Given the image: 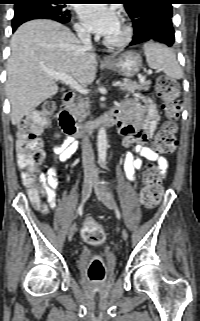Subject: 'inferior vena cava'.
I'll return each mask as SVG.
<instances>
[{
	"label": "inferior vena cava",
	"instance_id": "inferior-vena-cava-1",
	"mask_svg": "<svg viewBox=\"0 0 200 321\" xmlns=\"http://www.w3.org/2000/svg\"><path fill=\"white\" fill-rule=\"evenodd\" d=\"M78 37L86 50H92L90 33L85 29L78 30ZM82 162L85 176H97V170L94 164V155L89 137L86 133L82 134Z\"/></svg>",
	"mask_w": 200,
	"mask_h": 321
}]
</instances>
